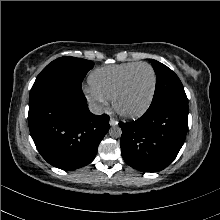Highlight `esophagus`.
Returning a JSON list of instances; mask_svg holds the SVG:
<instances>
[{"label":"esophagus","mask_w":220,"mask_h":220,"mask_svg":"<svg viewBox=\"0 0 220 220\" xmlns=\"http://www.w3.org/2000/svg\"><path fill=\"white\" fill-rule=\"evenodd\" d=\"M109 123H110L111 126H116V125H118V121H117L116 119H114V118H111L110 121H109Z\"/></svg>","instance_id":"esophagus-1"}]
</instances>
